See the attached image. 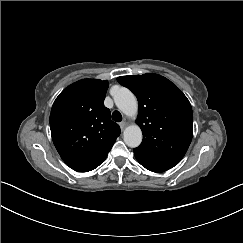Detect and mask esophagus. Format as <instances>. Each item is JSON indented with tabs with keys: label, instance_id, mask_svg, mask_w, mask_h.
<instances>
[{
	"label": "esophagus",
	"instance_id": "esophagus-1",
	"mask_svg": "<svg viewBox=\"0 0 243 243\" xmlns=\"http://www.w3.org/2000/svg\"><path fill=\"white\" fill-rule=\"evenodd\" d=\"M121 130H124V128L126 127L127 123L125 121H122L119 123Z\"/></svg>",
	"mask_w": 243,
	"mask_h": 243
}]
</instances>
